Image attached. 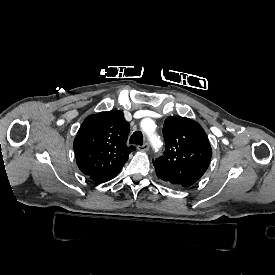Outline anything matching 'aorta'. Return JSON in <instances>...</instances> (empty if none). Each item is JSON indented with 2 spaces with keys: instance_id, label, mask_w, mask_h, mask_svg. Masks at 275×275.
<instances>
[{
  "instance_id": "obj_1",
  "label": "aorta",
  "mask_w": 275,
  "mask_h": 275,
  "mask_svg": "<svg viewBox=\"0 0 275 275\" xmlns=\"http://www.w3.org/2000/svg\"><path fill=\"white\" fill-rule=\"evenodd\" d=\"M146 124H147V126H149V128H144V127L142 126V123H141V127L143 128L144 131L149 132L150 130L153 129L154 124H153V122H152L151 120H148V121L146 122Z\"/></svg>"
}]
</instances>
